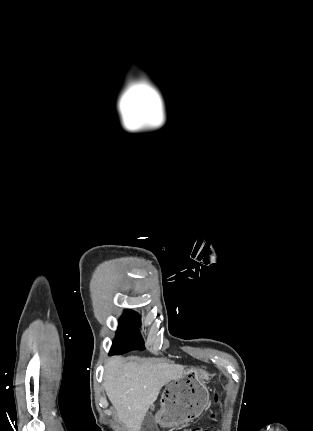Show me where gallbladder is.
<instances>
[{
	"label": "gallbladder",
	"instance_id": "gallbladder-1",
	"mask_svg": "<svg viewBox=\"0 0 313 431\" xmlns=\"http://www.w3.org/2000/svg\"><path fill=\"white\" fill-rule=\"evenodd\" d=\"M144 425H145L147 428L152 429V428H154V427H155L156 423H155V421H154V419H153V417H152V416L147 415V416L145 417V420H144Z\"/></svg>",
	"mask_w": 313,
	"mask_h": 431
}]
</instances>
